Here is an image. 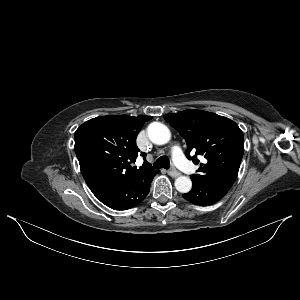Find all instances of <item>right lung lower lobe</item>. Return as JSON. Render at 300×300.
<instances>
[{"instance_id":"98d812e1","label":"right lung lower lobe","mask_w":300,"mask_h":300,"mask_svg":"<svg viewBox=\"0 0 300 300\" xmlns=\"http://www.w3.org/2000/svg\"><path fill=\"white\" fill-rule=\"evenodd\" d=\"M155 172L137 180H129L111 189L94 193L106 206L125 210L140 204L147 196Z\"/></svg>"}]
</instances>
